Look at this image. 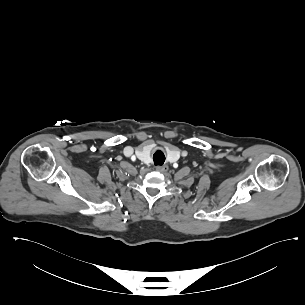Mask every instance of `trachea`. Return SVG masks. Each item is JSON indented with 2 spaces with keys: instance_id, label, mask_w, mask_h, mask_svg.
<instances>
[{
  "instance_id": "3493384b",
  "label": "trachea",
  "mask_w": 305,
  "mask_h": 305,
  "mask_svg": "<svg viewBox=\"0 0 305 305\" xmlns=\"http://www.w3.org/2000/svg\"><path fill=\"white\" fill-rule=\"evenodd\" d=\"M165 159L166 158L164 156V153L159 149H157L155 151V153L153 154V160H154L155 165H162L164 163Z\"/></svg>"
}]
</instances>
